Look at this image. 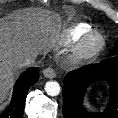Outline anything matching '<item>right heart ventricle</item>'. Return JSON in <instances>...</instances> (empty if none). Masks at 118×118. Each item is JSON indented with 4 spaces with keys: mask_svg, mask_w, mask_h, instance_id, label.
<instances>
[{
    "mask_svg": "<svg viewBox=\"0 0 118 118\" xmlns=\"http://www.w3.org/2000/svg\"><path fill=\"white\" fill-rule=\"evenodd\" d=\"M92 30V25L80 22L72 26L61 38L63 44H72L79 41L86 33Z\"/></svg>",
    "mask_w": 118,
    "mask_h": 118,
    "instance_id": "right-heart-ventricle-1",
    "label": "right heart ventricle"
}]
</instances>
